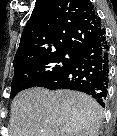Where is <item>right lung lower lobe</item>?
I'll list each match as a JSON object with an SVG mask.
<instances>
[{"label": "right lung lower lobe", "mask_w": 117, "mask_h": 136, "mask_svg": "<svg viewBox=\"0 0 117 136\" xmlns=\"http://www.w3.org/2000/svg\"><path fill=\"white\" fill-rule=\"evenodd\" d=\"M109 45L105 29L75 53L73 60L61 71L42 82L39 87L71 89L85 92L104 106L109 87Z\"/></svg>", "instance_id": "98d812e1"}]
</instances>
